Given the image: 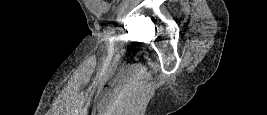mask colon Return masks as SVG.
Returning <instances> with one entry per match:
<instances>
[{
	"mask_svg": "<svg viewBox=\"0 0 267 115\" xmlns=\"http://www.w3.org/2000/svg\"><path fill=\"white\" fill-rule=\"evenodd\" d=\"M98 1H102V2H104V3H105V2H108L109 0H98Z\"/></svg>",
	"mask_w": 267,
	"mask_h": 115,
	"instance_id": "5ec220e1",
	"label": "colon"
}]
</instances>
